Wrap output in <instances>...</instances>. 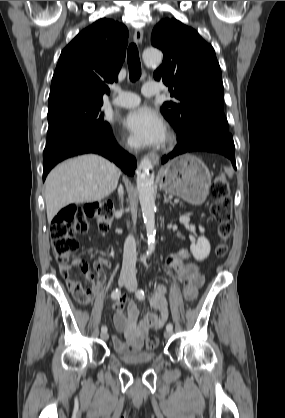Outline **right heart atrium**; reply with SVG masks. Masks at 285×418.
I'll use <instances>...</instances> for the list:
<instances>
[{
  "label": "right heart atrium",
  "instance_id": "d8ad5b80",
  "mask_svg": "<svg viewBox=\"0 0 285 418\" xmlns=\"http://www.w3.org/2000/svg\"><path fill=\"white\" fill-rule=\"evenodd\" d=\"M120 143L122 147L127 151H131L133 149V145L125 138H121Z\"/></svg>",
  "mask_w": 285,
  "mask_h": 418
}]
</instances>
